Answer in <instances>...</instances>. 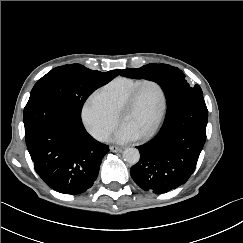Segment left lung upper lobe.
<instances>
[{"label":"left lung upper lobe","mask_w":243,"mask_h":243,"mask_svg":"<svg viewBox=\"0 0 243 243\" xmlns=\"http://www.w3.org/2000/svg\"><path fill=\"white\" fill-rule=\"evenodd\" d=\"M121 76L148 79L158 83L163 89L167 102V113L181 103L196 96H203L199 85L190 86L183 72L166 64H148L138 69H124Z\"/></svg>","instance_id":"5c2ea615"}]
</instances>
